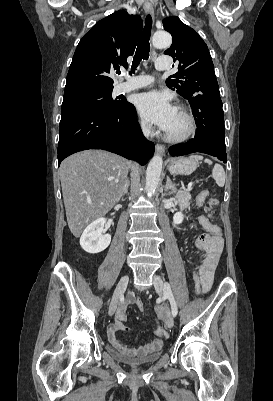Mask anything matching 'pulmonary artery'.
<instances>
[{
	"label": "pulmonary artery",
	"instance_id": "e3ab8cb5",
	"mask_svg": "<svg viewBox=\"0 0 273 401\" xmlns=\"http://www.w3.org/2000/svg\"><path fill=\"white\" fill-rule=\"evenodd\" d=\"M160 72H167L169 66L165 57H158L156 60ZM156 77L152 74H137L135 80H120L118 86L122 91H132L135 89H146L148 83H152Z\"/></svg>",
	"mask_w": 273,
	"mask_h": 401
}]
</instances>
